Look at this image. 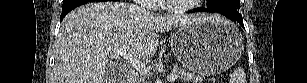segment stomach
I'll return each instance as SVG.
<instances>
[{"label":"stomach","mask_w":307,"mask_h":83,"mask_svg":"<svg viewBox=\"0 0 307 83\" xmlns=\"http://www.w3.org/2000/svg\"><path fill=\"white\" fill-rule=\"evenodd\" d=\"M171 48L186 69L212 76L239 59L243 38L238 28L226 20H202L179 27L171 35Z\"/></svg>","instance_id":"obj_1"}]
</instances>
